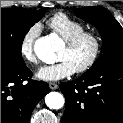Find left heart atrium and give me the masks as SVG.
Instances as JSON below:
<instances>
[{
	"label": "left heart atrium",
	"mask_w": 123,
	"mask_h": 123,
	"mask_svg": "<svg viewBox=\"0 0 123 123\" xmlns=\"http://www.w3.org/2000/svg\"><path fill=\"white\" fill-rule=\"evenodd\" d=\"M74 66L68 60H60L58 63L46 65L37 72V77L44 81H57L72 75Z\"/></svg>",
	"instance_id": "left-heart-atrium-1"
}]
</instances>
